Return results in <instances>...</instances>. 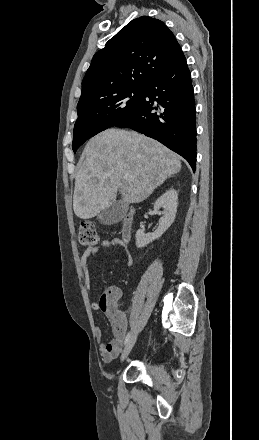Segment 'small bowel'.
<instances>
[{"label": "small bowel", "instance_id": "small-bowel-1", "mask_svg": "<svg viewBox=\"0 0 259 440\" xmlns=\"http://www.w3.org/2000/svg\"><path fill=\"white\" fill-rule=\"evenodd\" d=\"M113 246H121L126 248L127 243L122 238H110L103 240L99 246L87 248L81 256L80 264L84 273L85 287L90 291V262L91 258L98 252L100 248H109ZM127 264L131 265L133 260L130 253L127 251ZM121 295L117 287L109 288L98 300L92 302L91 306L94 310H100L105 313L109 319L112 330L113 339L108 343H101L100 353L105 362H110L116 358L121 350L125 332L127 328V321L124 314L118 309L116 302ZM96 336L99 340L102 338V331L98 328Z\"/></svg>", "mask_w": 259, "mask_h": 440}]
</instances>
